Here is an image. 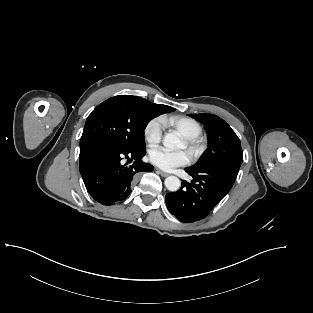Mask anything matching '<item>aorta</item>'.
<instances>
[{"mask_svg": "<svg viewBox=\"0 0 313 313\" xmlns=\"http://www.w3.org/2000/svg\"><path fill=\"white\" fill-rule=\"evenodd\" d=\"M163 145L169 149H176L180 147L181 140L176 133H168L163 139ZM164 184L172 192L179 190L181 186V182L176 176L167 177Z\"/></svg>", "mask_w": 313, "mask_h": 313, "instance_id": "1", "label": "aorta"}]
</instances>
